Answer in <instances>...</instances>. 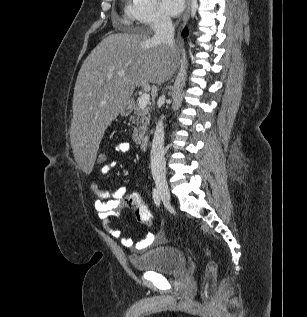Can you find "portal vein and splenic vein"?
<instances>
[{"instance_id":"1","label":"portal vein and splenic vein","mask_w":307,"mask_h":317,"mask_svg":"<svg viewBox=\"0 0 307 317\" xmlns=\"http://www.w3.org/2000/svg\"><path fill=\"white\" fill-rule=\"evenodd\" d=\"M119 75H120V76H123L124 73L121 72V73H119ZM149 100H150V95H149L148 93H143V94L139 97V103H138L139 107H140V108L146 107L147 104H148V102H149Z\"/></svg>"}]
</instances>
